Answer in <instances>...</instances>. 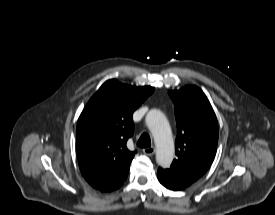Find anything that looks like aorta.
Listing matches in <instances>:
<instances>
[{
    "instance_id": "1",
    "label": "aorta",
    "mask_w": 275,
    "mask_h": 215,
    "mask_svg": "<svg viewBox=\"0 0 275 215\" xmlns=\"http://www.w3.org/2000/svg\"><path fill=\"white\" fill-rule=\"evenodd\" d=\"M145 120L156 145V162L159 166L167 168L174 158V142L168 120L157 109L150 110Z\"/></svg>"
}]
</instances>
